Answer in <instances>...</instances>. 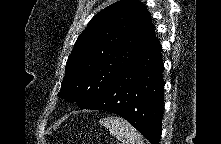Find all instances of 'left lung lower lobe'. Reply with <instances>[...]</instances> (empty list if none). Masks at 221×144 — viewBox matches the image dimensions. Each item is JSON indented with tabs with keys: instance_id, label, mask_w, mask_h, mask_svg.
I'll list each match as a JSON object with an SVG mask.
<instances>
[{
	"instance_id": "left-lung-lower-lobe-1",
	"label": "left lung lower lobe",
	"mask_w": 221,
	"mask_h": 144,
	"mask_svg": "<svg viewBox=\"0 0 221 144\" xmlns=\"http://www.w3.org/2000/svg\"><path fill=\"white\" fill-rule=\"evenodd\" d=\"M162 70L161 45L154 37L88 109L115 113L140 131L151 144H159L164 101Z\"/></svg>"
}]
</instances>
